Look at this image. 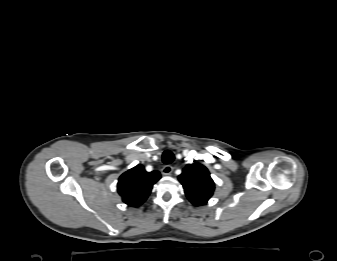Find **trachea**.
Instances as JSON below:
<instances>
[{"label":"trachea","instance_id":"obj_1","mask_svg":"<svg viewBox=\"0 0 337 261\" xmlns=\"http://www.w3.org/2000/svg\"><path fill=\"white\" fill-rule=\"evenodd\" d=\"M162 161L165 164H170L174 161V154L170 150H166L162 155Z\"/></svg>","mask_w":337,"mask_h":261}]
</instances>
